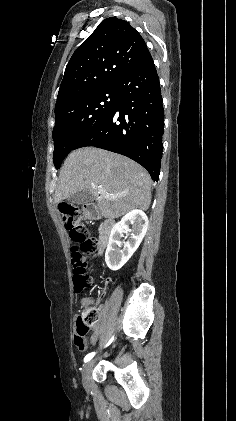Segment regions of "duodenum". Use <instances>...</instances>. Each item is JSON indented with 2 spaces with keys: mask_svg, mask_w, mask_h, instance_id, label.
<instances>
[{
  "mask_svg": "<svg viewBox=\"0 0 236 421\" xmlns=\"http://www.w3.org/2000/svg\"><path fill=\"white\" fill-rule=\"evenodd\" d=\"M85 215L88 219H99L100 217L97 208L92 204H88L85 206ZM114 226H115V221L112 218H105L102 220L100 224V228H99V238H98V248L100 252L104 251V249L108 245L109 240L113 234ZM102 331H103V326L94 336L93 342L97 341Z\"/></svg>",
  "mask_w": 236,
  "mask_h": 421,
  "instance_id": "410a0bca",
  "label": "duodenum"
}]
</instances>
